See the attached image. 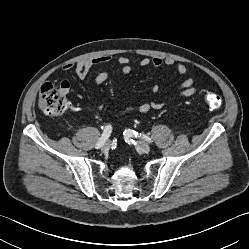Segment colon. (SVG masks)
Listing matches in <instances>:
<instances>
[{"label":"colon","mask_w":249,"mask_h":249,"mask_svg":"<svg viewBox=\"0 0 249 249\" xmlns=\"http://www.w3.org/2000/svg\"><path fill=\"white\" fill-rule=\"evenodd\" d=\"M204 98L211 109H219L222 106L221 97L214 92H206ZM38 105L43 113L57 116L63 114L69 108V101L60 87L45 83L39 91Z\"/></svg>","instance_id":"5ec220e1"}]
</instances>
